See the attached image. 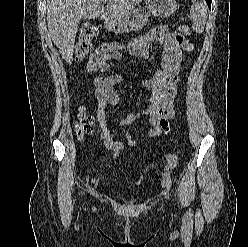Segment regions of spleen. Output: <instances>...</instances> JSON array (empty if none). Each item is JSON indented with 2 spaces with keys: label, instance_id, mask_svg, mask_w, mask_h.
Returning <instances> with one entry per match:
<instances>
[{
  "label": "spleen",
  "instance_id": "obj_1",
  "mask_svg": "<svg viewBox=\"0 0 248 247\" xmlns=\"http://www.w3.org/2000/svg\"><path fill=\"white\" fill-rule=\"evenodd\" d=\"M192 2L190 16L193 30L197 33H202L207 19V7L203 3L196 2V0H192Z\"/></svg>",
  "mask_w": 248,
  "mask_h": 247
}]
</instances>
